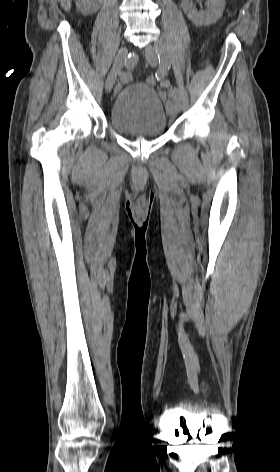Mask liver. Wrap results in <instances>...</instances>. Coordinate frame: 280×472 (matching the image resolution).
Instances as JSON below:
<instances>
[{
	"mask_svg": "<svg viewBox=\"0 0 280 472\" xmlns=\"http://www.w3.org/2000/svg\"><path fill=\"white\" fill-rule=\"evenodd\" d=\"M61 6L66 10L69 11L71 8V0H58Z\"/></svg>",
	"mask_w": 280,
	"mask_h": 472,
	"instance_id": "1",
	"label": "liver"
}]
</instances>
